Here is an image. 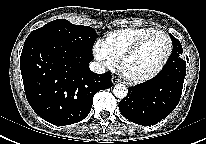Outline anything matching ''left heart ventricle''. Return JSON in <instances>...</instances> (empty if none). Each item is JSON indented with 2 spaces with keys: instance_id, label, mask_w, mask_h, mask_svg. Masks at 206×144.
Wrapping results in <instances>:
<instances>
[{
  "instance_id": "obj_1",
  "label": "left heart ventricle",
  "mask_w": 206,
  "mask_h": 144,
  "mask_svg": "<svg viewBox=\"0 0 206 144\" xmlns=\"http://www.w3.org/2000/svg\"><path fill=\"white\" fill-rule=\"evenodd\" d=\"M168 51L167 39L155 36L133 55L124 66L125 72L132 77H140L153 72L164 60Z\"/></svg>"
}]
</instances>
